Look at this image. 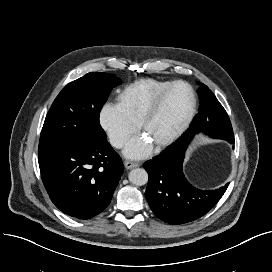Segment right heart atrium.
Returning a JSON list of instances; mask_svg holds the SVG:
<instances>
[{
	"mask_svg": "<svg viewBox=\"0 0 272 272\" xmlns=\"http://www.w3.org/2000/svg\"><path fill=\"white\" fill-rule=\"evenodd\" d=\"M98 122L109 143L115 148H121L137 131L134 123L118 105V103H104L98 114Z\"/></svg>",
	"mask_w": 272,
	"mask_h": 272,
	"instance_id": "d8ad5b80",
	"label": "right heart atrium"
}]
</instances>
